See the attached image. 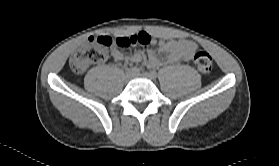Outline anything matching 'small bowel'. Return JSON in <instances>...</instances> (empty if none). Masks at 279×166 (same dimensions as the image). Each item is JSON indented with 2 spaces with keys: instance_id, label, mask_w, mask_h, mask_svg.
<instances>
[{
  "instance_id": "c3829d8e",
  "label": "small bowel",
  "mask_w": 279,
  "mask_h": 166,
  "mask_svg": "<svg viewBox=\"0 0 279 166\" xmlns=\"http://www.w3.org/2000/svg\"><path fill=\"white\" fill-rule=\"evenodd\" d=\"M141 35L146 36L148 38L147 44L141 45L145 47L148 45H156L158 52L167 53V62L169 63H175L181 60H191L193 52L197 48L195 42L186 39L157 41L156 39L151 38V36L147 32H139L129 37L137 38ZM111 55L116 62H121L124 60H127L132 64L146 62L149 68H157L162 65V61L158 58L156 52L151 49L147 51L146 58H144V56L139 52H135L131 56L125 57L123 52H121L117 48L112 50Z\"/></svg>"
}]
</instances>
